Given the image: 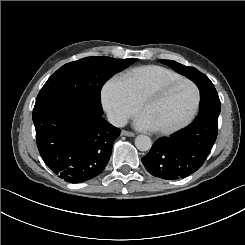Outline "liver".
<instances>
[{
	"mask_svg": "<svg viewBox=\"0 0 245 245\" xmlns=\"http://www.w3.org/2000/svg\"><path fill=\"white\" fill-rule=\"evenodd\" d=\"M63 119L66 120V121L71 120L70 113H69V112L65 113V114L63 115Z\"/></svg>",
	"mask_w": 245,
	"mask_h": 245,
	"instance_id": "liver-1",
	"label": "liver"
}]
</instances>
